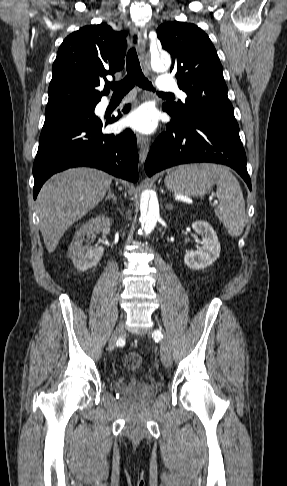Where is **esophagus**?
I'll return each instance as SVG.
<instances>
[{
  "mask_svg": "<svg viewBox=\"0 0 287 486\" xmlns=\"http://www.w3.org/2000/svg\"><path fill=\"white\" fill-rule=\"evenodd\" d=\"M133 32L137 34L138 37V51L140 54V58L144 59V53H145V38H144V31L143 28L140 26H134L133 27ZM137 142L140 146V159L141 162H145L148 150H149V144H148V138L141 134H137Z\"/></svg>",
  "mask_w": 287,
  "mask_h": 486,
  "instance_id": "1",
  "label": "esophagus"
}]
</instances>
